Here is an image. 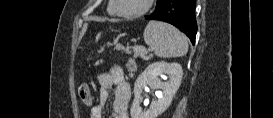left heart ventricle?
Returning a JSON list of instances; mask_svg holds the SVG:
<instances>
[{"mask_svg":"<svg viewBox=\"0 0 273 118\" xmlns=\"http://www.w3.org/2000/svg\"><path fill=\"white\" fill-rule=\"evenodd\" d=\"M146 0H119L118 8L122 12L133 13L144 8Z\"/></svg>","mask_w":273,"mask_h":118,"instance_id":"left-heart-ventricle-1","label":"left heart ventricle"}]
</instances>
